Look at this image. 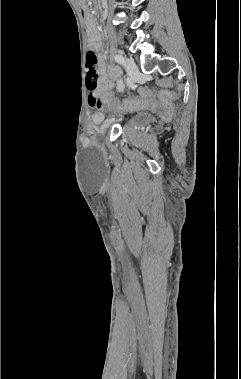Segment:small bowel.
Masks as SVG:
<instances>
[{"label":"small bowel","mask_w":241,"mask_h":379,"mask_svg":"<svg viewBox=\"0 0 241 379\" xmlns=\"http://www.w3.org/2000/svg\"><path fill=\"white\" fill-rule=\"evenodd\" d=\"M90 41L95 49H97L100 46V38L95 32L91 34ZM99 70L101 73V81H102L101 89L98 88L97 83H90L89 86L86 87V92L89 95L88 100H87V105H88L89 110H102L103 108H105L106 102L100 101V96L104 89H106L107 87H112L111 81L107 79V72L103 63L99 64ZM113 116L119 117L120 111L114 110ZM99 117H100L99 115L94 116L95 119H99Z\"/></svg>","instance_id":"obj_1"}]
</instances>
